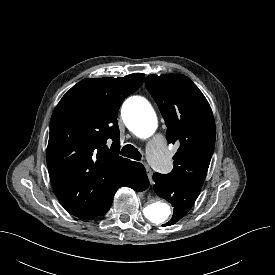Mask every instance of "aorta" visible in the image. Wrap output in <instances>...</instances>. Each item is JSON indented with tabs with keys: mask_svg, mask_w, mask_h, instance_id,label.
Masks as SVG:
<instances>
[{
	"mask_svg": "<svg viewBox=\"0 0 275 275\" xmlns=\"http://www.w3.org/2000/svg\"><path fill=\"white\" fill-rule=\"evenodd\" d=\"M126 126L138 137L151 136L158 127V119L152 105L142 97H131L122 106ZM145 218L155 226L165 225L172 214L169 204L155 201L144 208Z\"/></svg>",
	"mask_w": 275,
	"mask_h": 275,
	"instance_id": "obj_1",
	"label": "aorta"
}]
</instances>
